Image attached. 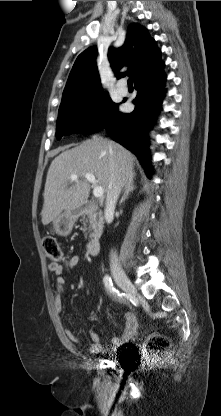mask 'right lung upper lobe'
Masks as SVG:
<instances>
[{
  "instance_id": "right-lung-upper-lobe-1",
  "label": "right lung upper lobe",
  "mask_w": 221,
  "mask_h": 416,
  "mask_svg": "<svg viewBox=\"0 0 221 416\" xmlns=\"http://www.w3.org/2000/svg\"><path fill=\"white\" fill-rule=\"evenodd\" d=\"M161 51L155 40L148 36L146 30L138 24H131L127 31L125 43L120 48H110L108 59L117 76L123 66H128L127 74L134 77V82L162 69L164 63ZM97 49L89 48L76 59L63 92L62 102L75 101L104 93L96 65Z\"/></svg>"
}]
</instances>
